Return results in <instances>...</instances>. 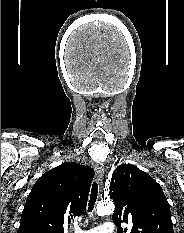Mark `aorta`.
Segmentation results:
<instances>
[{
    "instance_id": "obj_1",
    "label": "aorta",
    "mask_w": 184,
    "mask_h": 233,
    "mask_svg": "<svg viewBox=\"0 0 184 233\" xmlns=\"http://www.w3.org/2000/svg\"><path fill=\"white\" fill-rule=\"evenodd\" d=\"M113 210H114V205L112 202L101 201L97 204L96 213L98 216H104L111 214Z\"/></svg>"
}]
</instances>
